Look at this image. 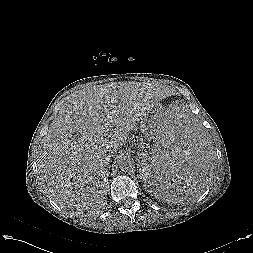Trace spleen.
<instances>
[{"instance_id": "obj_1", "label": "spleen", "mask_w": 253, "mask_h": 253, "mask_svg": "<svg viewBox=\"0 0 253 253\" xmlns=\"http://www.w3.org/2000/svg\"><path fill=\"white\" fill-rule=\"evenodd\" d=\"M214 171V152L204 123L183 102L172 106L139 160L143 186L167 201L196 198Z\"/></svg>"}]
</instances>
